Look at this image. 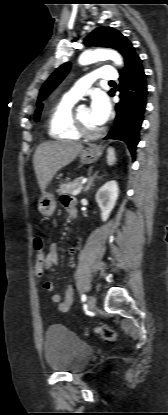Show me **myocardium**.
<instances>
[{"instance_id":"1","label":"myocardium","mask_w":168,"mask_h":415,"mask_svg":"<svg viewBox=\"0 0 168 415\" xmlns=\"http://www.w3.org/2000/svg\"><path fill=\"white\" fill-rule=\"evenodd\" d=\"M73 118H74V125L76 130L78 131V133L81 136H84L86 138H96L98 136H100L104 129L103 128H99L97 130H91L89 129L83 122L82 120L79 118L77 112L73 113Z\"/></svg>"}]
</instances>
